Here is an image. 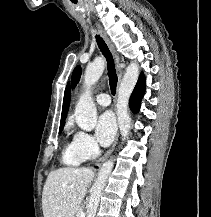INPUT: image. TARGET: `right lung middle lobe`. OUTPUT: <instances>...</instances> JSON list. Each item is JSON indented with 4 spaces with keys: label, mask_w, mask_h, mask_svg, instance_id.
<instances>
[{
    "label": "right lung middle lobe",
    "mask_w": 211,
    "mask_h": 217,
    "mask_svg": "<svg viewBox=\"0 0 211 217\" xmlns=\"http://www.w3.org/2000/svg\"><path fill=\"white\" fill-rule=\"evenodd\" d=\"M62 129H63V127H60V131H59L60 133H61Z\"/></svg>",
    "instance_id": "1"
}]
</instances>
